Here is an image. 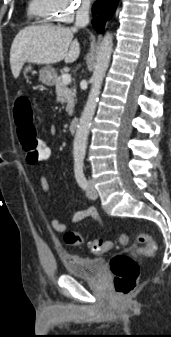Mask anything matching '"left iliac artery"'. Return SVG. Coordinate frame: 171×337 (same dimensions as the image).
I'll return each instance as SVG.
<instances>
[{"label": "left iliac artery", "mask_w": 171, "mask_h": 337, "mask_svg": "<svg viewBox=\"0 0 171 337\" xmlns=\"http://www.w3.org/2000/svg\"><path fill=\"white\" fill-rule=\"evenodd\" d=\"M83 166H84V156H76L75 157V164H74V172H75V178L79 184L80 187L83 189H86L87 187V180L85 178V175L83 173Z\"/></svg>", "instance_id": "obj_1"}]
</instances>
